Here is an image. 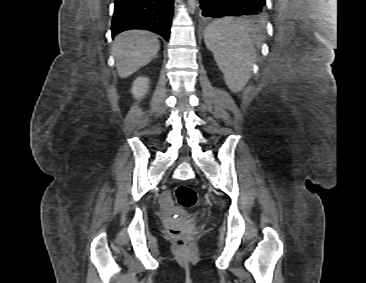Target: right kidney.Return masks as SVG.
<instances>
[{"label": "right kidney", "instance_id": "obj_1", "mask_svg": "<svg viewBox=\"0 0 366 283\" xmlns=\"http://www.w3.org/2000/svg\"><path fill=\"white\" fill-rule=\"evenodd\" d=\"M148 86H149V79L148 78L138 77L132 85L131 92H132L133 96L136 99L143 98V96L148 91Z\"/></svg>", "mask_w": 366, "mask_h": 283}]
</instances>
